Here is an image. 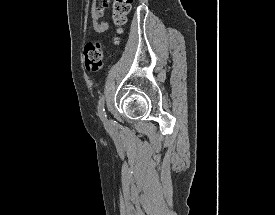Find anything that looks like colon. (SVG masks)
<instances>
[{"label":"colon","instance_id":"1","mask_svg":"<svg viewBox=\"0 0 275 215\" xmlns=\"http://www.w3.org/2000/svg\"><path fill=\"white\" fill-rule=\"evenodd\" d=\"M133 0H113V24L120 28L126 23L127 15L131 10ZM118 43V39H114ZM104 51L99 41H89L83 49V62L86 70L90 73H96L103 67Z\"/></svg>","mask_w":275,"mask_h":215}]
</instances>
